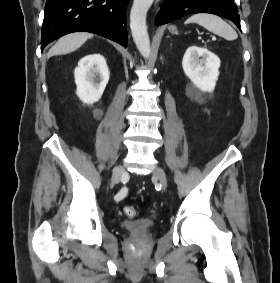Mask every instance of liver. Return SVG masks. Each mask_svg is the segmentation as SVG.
<instances>
[{
	"mask_svg": "<svg viewBox=\"0 0 280 283\" xmlns=\"http://www.w3.org/2000/svg\"><path fill=\"white\" fill-rule=\"evenodd\" d=\"M92 37L93 34L86 32L68 34L60 38L57 43L49 50L48 57L73 52Z\"/></svg>",
	"mask_w": 280,
	"mask_h": 283,
	"instance_id": "liver-1",
	"label": "liver"
}]
</instances>
